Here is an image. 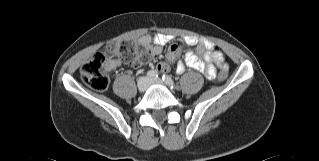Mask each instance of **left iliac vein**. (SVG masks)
Segmentation results:
<instances>
[{"label": "left iliac vein", "instance_id": "1", "mask_svg": "<svg viewBox=\"0 0 319 161\" xmlns=\"http://www.w3.org/2000/svg\"><path fill=\"white\" fill-rule=\"evenodd\" d=\"M149 83H150V84H161V85L164 84L163 81H162L161 79H159V78L151 79V80L149 81Z\"/></svg>", "mask_w": 319, "mask_h": 161}]
</instances>
